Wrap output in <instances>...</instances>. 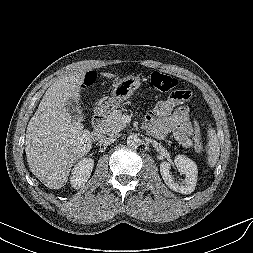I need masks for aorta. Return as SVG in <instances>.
<instances>
[{
	"label": "aorta",
	"mask_w": 253,
	"mask_h": 253,
	"mask_svg": "<svg viewBox=\"0 0 253 253\" xmlns=\"http://www.w3.org/2000/svg\"><path fill=\"white\" fill-rule=\"evenodd\" d=\"M127 145L131 148H135V149L138 148L140 145L139 137L135 134L129 135L127 138Z\"/></svg>",
	"instance_id": "762f6f07"
}]
</instances>
